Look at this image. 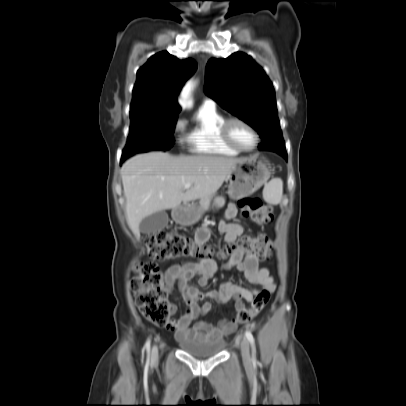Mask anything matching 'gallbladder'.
<instances>
[{"instance_id":"obj_1","label":"gallbladder","mask_w":406,"mask_h":406,"mask_svg":"<svg viewBox=\"0 0 406 406\" xmlns=\"http://www.w3.org/2000/svg\"><path fill=\"white\" fill-rule=\"evenodd\" d=\"M168 221V214L162 210L144 218L139 225V230L144 234L157 233L167 226Z\"/></svg>"}]
</instances>
